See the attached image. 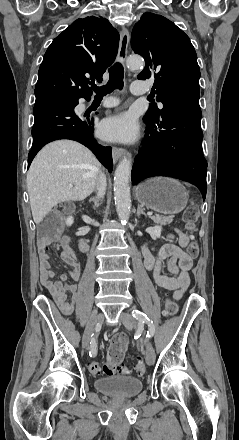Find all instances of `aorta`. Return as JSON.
<instances>
[{
	"label": "aorta",
	"instance_id": "762f6f07",
	"mask_svg": "<svg viewBox=\"0 0 239 440\" xmlns=\"http://www.w3.org/2000/svg\"><path fill=\"white\" fill-rule=\"evenodd\" d=\"M127 66L130 68V70L142 68V66H144V60L141 58V56H130V58L127 60ZM131 170L132 160H129V158H126V156L122 158L115 170L114 200L116 212L121 222H127L131 212Z\"/></svg>",
	"mask_w": 239,
	"mask_h": 440
}]
</instances>
